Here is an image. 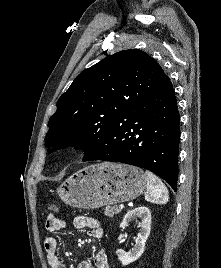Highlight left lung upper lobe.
Returning <instances> with one entry per match:
<instances>
[{
  "mask_svg": "<svg viewBox=\"0 0 221 268\" xmlns=\"http://www.w3.org/2000/svg\"><path fill=\"white\" fill-rule=\"evenodd\" d=\"M170 83L160 65L140 50L104 58L81 72L59 98L48 122L47 146L53 151L82 148L87 161L122 115Z\"/></svg>",
  "mask_w": 221,
  "mask_h": 268,
  "instance_id": "5c2ea615",
  "label": "left lung upper lobe"
}]
</instances>
